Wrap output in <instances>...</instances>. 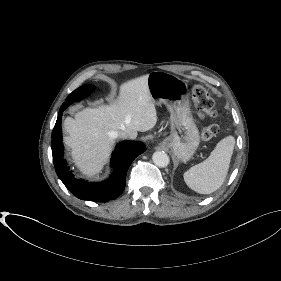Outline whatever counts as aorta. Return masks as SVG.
Wrapping results in <instances>:
<instances>
[{
	"label": "aorta",
	"mask_w": 281,
	"mask_h": 281,
	"mask_svg": "<svg viewBox=\"0 0 281 281\" xmlns=\"http://www.w3.org/2000/svg\"><path fill=\"white\" fill-rule=\"evenodd\" d=\"M152 160L158 167H166L170 162L169 156L163 151L154 152Z\"/></svg>",
	"instance_id": "obj_1"
}]
</instances>
